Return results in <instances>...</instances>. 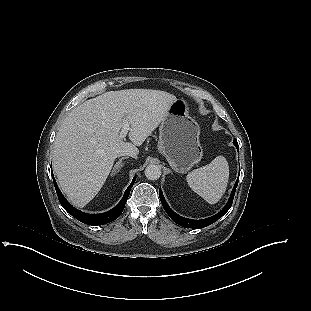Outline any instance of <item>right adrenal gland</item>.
<instances>
[{"label":"right adrenal gland","instance_id":"1","mask_svg":"<svg viewBox=\"0 0 311 311\" xmlns=\"http://www.w3.org/2000/svg\"><path fill=\"white\" fill-rule=\"evenodd\" d=\"M126 158H128V157H122V158H120L119 159V161L114 165V167H113V173L116 171V170H118L119 171V169L124 165L123 163H122V160H124V159H126Z\"/></svg>","mask_w":311,"mask_h":311}]
</instances>
